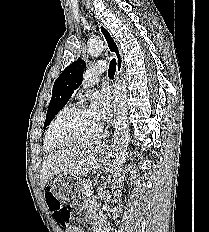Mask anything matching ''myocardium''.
Returning a JSON list of instances; mask_svg holds the SVG:
<instances>
[{
    "mask_svg": "<svg viewBox=\"0 0 209 232\" xmlns=\"http://www.w3.org/2000/svg\"><path fill=\"white\" fill-rule=\"evenodd\" d=\"M89 108L86 106V105H83V104H79V105H74V106H71L69 108H67L66 110H64L55 120H53L51 122V124L49 125L48 127V130H47V140L48 142L56 147V148H60V147H64V146H67V145H70V144H74V143H77V142H81V141H86V140H90L92 138H95L97 136H99L101 133H102V130H103V126L102 124H100L97 128L96 131H94L93 133L91 134H88V135H85V136H82V137H78V138H74V139H70V140H66V141H59L57 139L54 138L53 136V130L55 128V126L61 121L63 120L64 118L70 116V115H73L75 113H78L80 111H83V110H88Z\"/></svg>",
    "mask_w": 209,
    "mask_h": 232,
    "instance_id": "myocardium-1",
    "label": "myocardium"
}]
</instances>
